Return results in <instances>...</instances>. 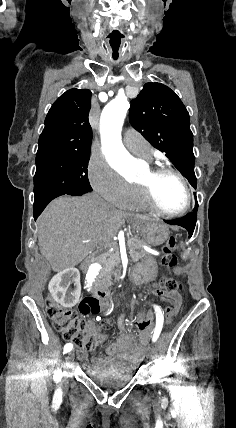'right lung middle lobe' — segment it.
I'll use <instances>...</instances> for the list:
<instances>
[{
  "mask_svg": "<svg viewBox=\"0 0 236 428\" xmlns=\"http://www.w3.org/2000/svg\"><path fill=\"white\" fill-rule=\"evenodd\" d=\"M90 152H37L34 176L35 201L73 191H92L87 167Z\"/></svg>",
  "mask_w": 236,
  "mask_h": 428,
  "instance_id": "obj_1",
  "label": "right lung middle lobe"
}]
</instances>
